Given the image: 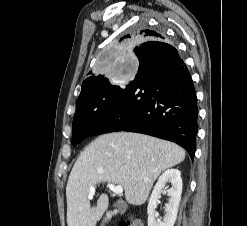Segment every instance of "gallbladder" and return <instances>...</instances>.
I'll use <instances>...</instances> for the list:
<instances>
[{
    "mask_svg": "<svg viewBox=\"0 0 247 226\" xmlns=\"http://www.w3.org/2000/svg\"><path fill=\"white\" fill-rule=\"evenodd\" d=\"M115 207H117L121 213H124L127 205L123 202H117L115 203Z\"/></svg>",
    "mask_w": 247,
    "mask_h": 226,
    "instance_id": "bac80fb5",
    "label": "gallbladder"
}]
</instances>
